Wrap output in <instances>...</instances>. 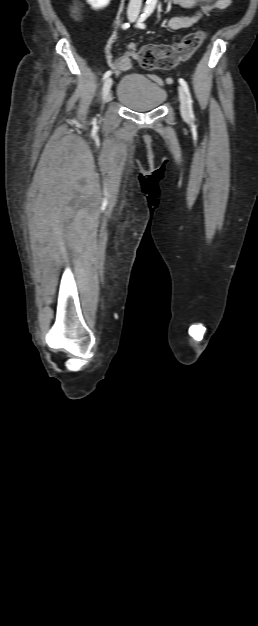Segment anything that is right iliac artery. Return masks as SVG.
Wrapping results in <instances>:
<instances>
[{"mask_svg":"<svg viewBox=\"0 0 258 626\" xmlns=\"http://www.w3.org/2000/svg\"><path fill=\"white\" fill-rule=\"evenodd\" d=\"M145 13H146V12H145ZM145 13H143V14H145ZM143 14H142V15H143ZM129 27H130V23H128V22H126V23L122 24V29H127V28H129ZM111 74H112L111 70L106 71V72H105V74H104V76H103V80H104V79H106V78H108Z\"/></svg>","mask_w":258,"mask_h":626,"instance_id":"obj_1","label":"right iliac artery"}]
</instances>
